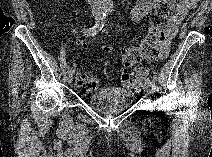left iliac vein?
<instances>
[{
  "mask_svg": "<svg viewBox=\"0 0 212 157\" xmlns=\"http://www.w3.org/2000/svg\"><path fill=\"white\" fill-rule=\"evenodd\" d=\"M143 91L145 94L149 95L151 93V89L148 85H145L143 86Z\"/></svg>",
  "mask_w": 212,
  "mask_h": 157,
  "instance_id": "4c4485c4",
  "label": "left iliac vein"
}]
</instances>
